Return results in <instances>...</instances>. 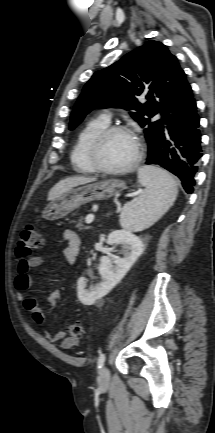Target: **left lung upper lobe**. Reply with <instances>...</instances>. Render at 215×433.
Instances as JSON below:
<instances>
[{
	"label": "left lung upper lobe",
	"mask_w": 215,
	"mask_h": 433,
	"mask_svg": "<svg viewBox=\"0 0 215 433\" xmlns=\"http://www.w3.org/2000/svg\"><path fill=\"white\" fill-rule=\"evenodd\" d=\"M177 58L158 41H148L111 66L97 71L85 85L71 115L70 129L81 123L94 108L123 107L142 127L151 151L162 129L163 120L151 122L149 118L163 111L170 98L185 80ZM148 102H138L140 95Z\"/></svg>",
	"instance_id": "1"
}]
</instances>
